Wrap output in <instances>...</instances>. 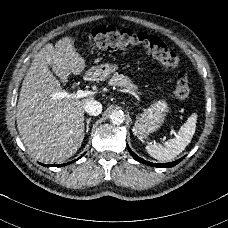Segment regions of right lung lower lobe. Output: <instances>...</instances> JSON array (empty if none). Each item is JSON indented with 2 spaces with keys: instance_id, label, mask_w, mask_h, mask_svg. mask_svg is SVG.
<instances>
[{
  "instance_id": "1",
  "label": "right lung lower lobe",
  "mask_w": 228,
  "mask_h": 228,
  "mask_svg": "<svg viewBox=\"0 0 228 228\" xmlns=\"http://www.w3.org/2000/svg\"><path fill=\"white\" fill-rule=\"evenodd\" d=\"M76 160H77V159H76ZM76 160H74V161H72V162H69V163H67V164L73 163V162H75ZM67 164H61V165H45V164H41V165L46 166V167H49V166H52V167H60V166H65V165H67Z\"/></svg>"
}]
</instances>
